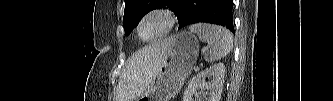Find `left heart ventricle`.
Listing matches in <instances>:
<instances>
[{
	"label": "left heart ventricle",
	"instance_id": "1",
	"mask_svg": "<svg viewBox=\"0 0 333 101\" xmlns=\"http://www.w3.org/2000/svg\"><path fill=\"white\" fill-rule=\"evenodd\" d=\"M165 26V21L160 17H151L147 19L141 27V35L144 38H150L160 31Z\"/></svg>",
	"mask_w": 333,
	"mask_h": 101
}]
</instances>
